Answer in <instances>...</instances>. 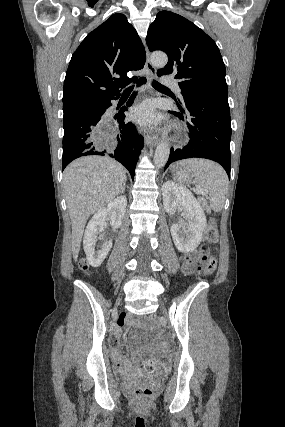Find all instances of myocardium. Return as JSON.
I'll return each instance as SVG.
<instances>
[{"mask_svg":"<svg viewBox=\"0 0 285 427\" xmlns=\"http://www.w3.org/2000/svg\"><path fill=\"white\" fill-rule=\"evenodd\" d=\"M178 133L181 131V126H177Z\"/></svg>","mask_w":285,"mask_h":427,"instance_id":"obj_1","label":"myocardium"}]
</instances>
